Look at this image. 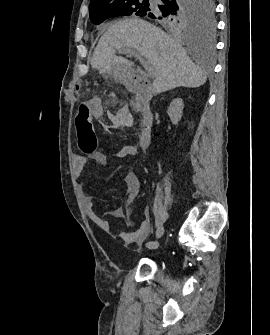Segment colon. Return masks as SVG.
Instances as JSON below:
<instances>
[{
  "label": "colon",
  "instance_id": "colon-1",
  "mask_svg": "<svg viewBox=\"0 0 270 335\" xmlns=\"http://www.w3.org/2000/svg\"><path fill=\"white\" fill-rule=\"evenodd\" d=\"M76 122L78 123L77 133L85 134L84 141H78V148H83V153L86 155L93 154L96 151L98 140L93 132V117L89 116L88 110L80 108L76 111Z\"/></svg>",
  "mask_w": 270,
  "mask_h": 335
}]
</instances>
